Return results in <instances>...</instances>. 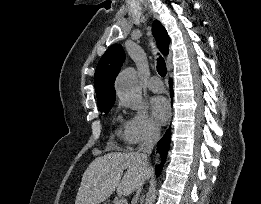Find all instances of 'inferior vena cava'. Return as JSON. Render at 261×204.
<instances>
[{
    "instance_id": "602c4592",
    "label": "inferior vena cava",
    "mask_w": 261,
    "mask_h": 204,
    "mask_svg": "<svg viewBox=\"0 0 261 204\" xmlns=\"http://www.w3.org/2000/svg\"><path fill=\"white\" fill-rule=\"evenodd\" d=\"M159 138H160L159 128L156 126H151L148 129L147 134L137 151V157L143 167L148 166V157L151 154L153 147L158 142ZM141 187H142V185H140L137 188L136 195L134 196V198L132 200V204L137 203L138 197L140 195Z\"/></svg>"
}]
</instances>
